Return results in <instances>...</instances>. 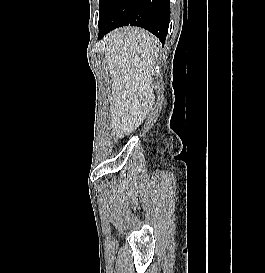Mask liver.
Returning <instances> with one entry per match:
<instances>
[{"instance_id":"6515ba94","label":"liver","mask_w":265,"mask_h":273,"mask_svg":"<svg viewBox=\"0 0 265 273\" xmlns=\"http://www.w3.org/2000/svg\"><path fill=\"white\" fill-rule=\"evenodd\" d=\"M105 41V57L113 80L111 125L121 138L138 128L152 108L151 70L160 42L149 32L134 27L116 29Z\"/></svg>"}]
</instances>
